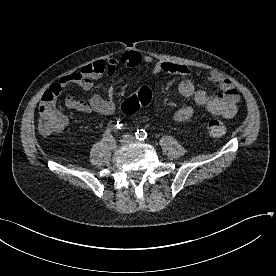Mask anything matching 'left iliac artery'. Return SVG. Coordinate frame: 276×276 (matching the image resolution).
<instances>
[{
	"label": "left iliac artery",
	"mask_w": 276,
	"mask_h": 276,
	"mask_svg": "<svg viewBox=\"0 0 276 276\" xmlns=\"http://www.w3.org/2000/svg\"><path fill=\"white\" fill-rule=\"evenodd\" d=\"M135 135L138 140H145L147 138V133L143 129L137 130Z\"/></svg>",
	"instance_id": "44dca946"
}]
</instances>
